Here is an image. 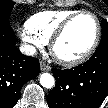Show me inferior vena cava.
<instances>
[{
    "label": "inferior vena cava",
    "instance_id": "obj_1",
    "mask_svg": "<svg viewBox=\"0 0 108 108\" xmlns=\"http://www.w3.org/2000/svg\"><path fill=\"white\" fill-rule=\"evenodd\" d=\"M19 49L24 55L27 56H32L36 52V48L34 46L27 44L21 45Z\"/></svg>",
    "mask_w": 108,
    "mask_h": 108
}]
</instances>
